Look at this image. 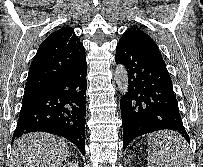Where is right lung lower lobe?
Wrapping results in <instances>:
<instances>
[{
  "mask_svg": "<svg viewBox=\"0 0 203 167\" xmlns=\"http://www.w3.org/2000/svg\"><path fill=\"white\" fill-rule=\"evenodd\" d=\"M86 57L43 91L24 95L12 141L42 131L62 136L85 155Z\"/></svg>",
  "mask_w": 203,
  "mask_h": 167,
  "instance_id": "obj_1",
  "label": "right lung lower lobe"
}]
</instances>
